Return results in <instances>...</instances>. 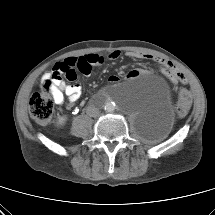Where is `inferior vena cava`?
<instances>
[{"mask_svg": "<svg viewBox=\"0 0 215 215\" xmlns=\"http://www.w3.org/2000/svg\"><path fill=\"white\" fill-rule=\"evenodd\" d=\"M86 113L90 117H97V116H99L100 111H99L98 108H96L94 106H88L87 109H86Z\"/></svg>", "mask_w": 215, "mask_h": 215, "instance_id": "602c4592", "label": "inferior vena cava"}]
</instances>
